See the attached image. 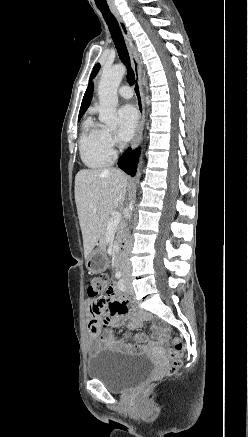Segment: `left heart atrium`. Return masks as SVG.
<instances>
[{
    "label": "left heart atrium",
    "instance_id": "obj_1",
    "mask_svg": "<svg viewBox=\"0 0 248 437\" xmlns=\"http://www.w3.org/2000/svg\"><path fill=\"white\" fill-rule=\"evenodd\" d=\"M138 124V114L133 105L126 104L118 110V137L128 141L133 136Z\"/></svg>",
    "mask_w": 248,
    "mask_h": 437
}]
</instances>
